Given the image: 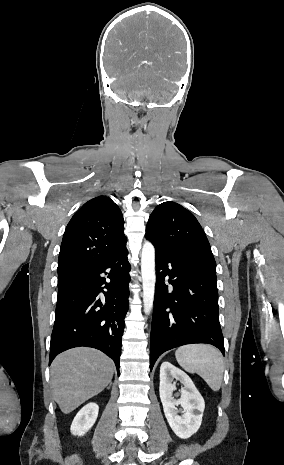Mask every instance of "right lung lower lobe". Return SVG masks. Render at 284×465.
Listing matches in <instances>:
<instances>
[{"mask_svg":"<svg viewBox=\"0 0 284 465\" xmlns=\"http://www.w3.org/2000/svg\"><path fill=\"white\" fill-rule=\"evenodd\" d=\"M127 254L125 246L95 266L58 278L49 365L59 353L86 346L112 358L119 375L130 282Z\"/></svg>","mask_w":284,"mask_h":465,"instance_id":"98d812e1","label":"right lung lower lobe"}]
</instances>
